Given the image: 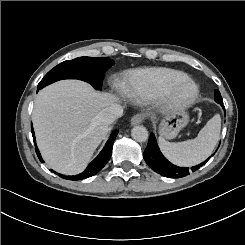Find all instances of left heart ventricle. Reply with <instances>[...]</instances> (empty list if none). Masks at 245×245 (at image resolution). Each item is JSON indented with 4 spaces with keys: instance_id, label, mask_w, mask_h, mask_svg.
<instances>
[{
    "instance_id": "1",
    "label": "left heart ventricle",
    "mask_w": 245,
    "mask_h": 245,
    "mask_svg": "<svg viewBox=\"0 0 245 245\" xmlns=\"http://www.w3.org/2000/svg\"><path fill=\"white\" fill-rule=\"evenodd\" d=\"M193 92V88L190 85H186L177 91L179 97H189Z\"/></svg>"
}]
</instances>
